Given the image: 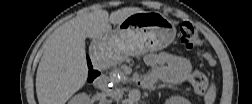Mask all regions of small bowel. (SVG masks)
Segmentation results:
<instances>
[{
	"instance_id": "c3829d8e",
	"label": "small bowel",
	"mask_w": 252,
	"mask_h": 104,
	"mask_svg": "<svg viewBox=\"0 0 252 104\" xmlns=\"http://www.w3.org/2000/svg\"><path fill=\"white\" fill-rule=\"evenodd\" d=\"M145 61L151 68L142 81L146 87L151 86L157 80L171 84L182 83L188 78L192 68L190 62L178 48L174 50V53H150L146 56Z\"/></svg>"
}]
</instances>
